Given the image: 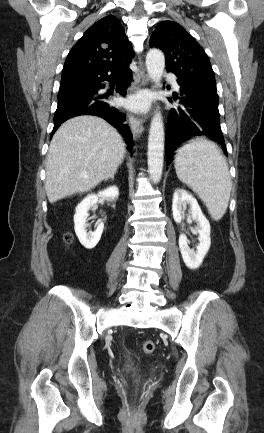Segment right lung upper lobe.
I'll list each match as a JSON object with an SVG mask.
<instances>
[{"instance_id": "cb5924a9", "label": "right lung upper lobe", "mask_w": 264, "mask_h": 433, "mask_svg": "<svg viewBox=\"0 0 264 433\" xmlns=\"http://www.w3.org/2000/svg\"><path fill=\"white\" fill-rule=\"evenodd\" d=\"M134 57L120 21L112 15L94 23L69 52L61 82L124 69Z\"/></svg>"}]
</instances>
